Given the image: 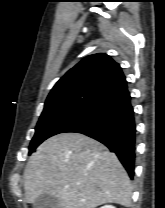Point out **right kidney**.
Segmentation results:
<instances>
[{
    "instance_id": "obj_1",
    "label": "right kidney",
    "mask_w": 165,
    "mask_h": 208,
    "mask_svg": "<svg viewBox=\"0 0 165 208\" xmlns=\"http://www.w3.org/2000/svg\"><path fill=\"white\" fill-rule=\"evenodd\" d=\"M100 208H116V207H114V206H112V205H105V206H102V207H100Z\"/></svg>"
}]
</instances>
